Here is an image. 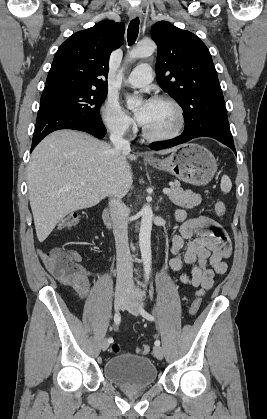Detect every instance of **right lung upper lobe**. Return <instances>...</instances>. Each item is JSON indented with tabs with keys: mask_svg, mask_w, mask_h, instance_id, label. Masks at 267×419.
Here are the masks:
<instances>
[{
	"mask_svg": "<svg viewBox=\"0 0 267 419\" xmlns=\"http://www.w3.org/2000/svg\"><path fill=\"white\" fill-rule=\"evenodd\" d=\"M124 30V24L107 20L71 35L55 54L44 92L107 90L109 57L122 44Z\"/></svg>",
	"mask_w": 267,
	"mask_h": 419,
	"instance_id": "obj_1",
	"label": "right lung upper lobe"
}]
</instances>
